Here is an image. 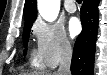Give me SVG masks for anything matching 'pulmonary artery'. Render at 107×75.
Here are the masks:
<instances>
[{"instance_id": "1", "label": "pulmonary artery", "mask_w": 107, "mask_h": 75, "mask_svg": "<svg viewBox=\"0 0 107 75\" xmlns=\"http://www.w3.org/2000/svg\"><path fill=\"white\" fill-rule=\"evenodd\" d=\"M64 6L65 9L69 12V13H74L77 10L76 4L74 3L73 0H66L64 2Z\"/></svg>"}]
</instances>
